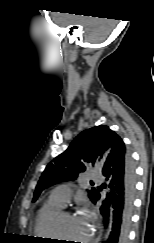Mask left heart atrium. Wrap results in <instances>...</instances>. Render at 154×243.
I'll return each instance as SVG.
<instances>
[{"label": "left heart atrium", "instance_id": "39dd6f15", "mask_svg": "<svg viewBox=\"0 0 154 243\" xmlns=\"http://www.w3.org/2000/svg\"><path fill=\"white\" fill-rule=\"evenodd\" d=\"M79 218H81L89 226V228L92 227V224L94 222V216L89 209H81L79 212Z\"/></svg>", "mask_w": 154, "mask_h": 243}]
</instances>
